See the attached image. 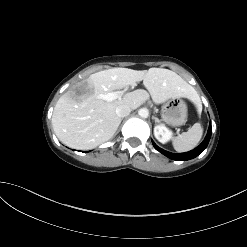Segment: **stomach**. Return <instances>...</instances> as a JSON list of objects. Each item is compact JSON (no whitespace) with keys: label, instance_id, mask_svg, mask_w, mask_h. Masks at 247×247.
Masks as SVG:
<instances>
[{"label":"stomach","instance_id":"obj_1","mask_svg":"<svg viewBox=\"0 0 247 247\" xmlns=\"http://www.w3.org/2000/svg\"><path fill=\"white\" fill-rule=\"evenodd\" d=\"M162 119L171 126H181L187 120V105L180 98L168 100L162 108Z\"/></svg>","mask_w":247,"mask_h":247}]
</instances>
